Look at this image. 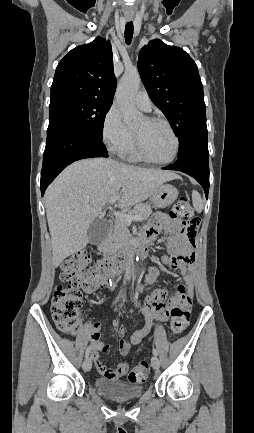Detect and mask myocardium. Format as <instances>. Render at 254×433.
Wrapping results in <instances>:
<instances>
[{
	"mask_svg": "<svg viewBox=\"0 0 254 433\" xmlns=\"http://www.w3.org/2000/svg\"><path fill=\"white\" fill-rule=\"evenodd\" d=\"M146 120L149 123L152 124H162L164 125L168 131L171 133L174 142H175V148H174V152L172 154V156L167 159V160H163V161H159V160H155L153 158H151L148 153L146 152L143 143L141 141V139L139 138V136L134 133V141H135V146H136V150L139 154V156L141 157L142 160L154 164V165H168L171 164L172 162L175 161V159L178 157L179 151H180V140L178 135L176 134L175 130L173 129V127L171 126V124L163 119V118H159V117H147Z\"/></svg>",
	"mask_w": 254,
	"mask_h": 433,
	"instance_id": "1",
	"label": "myocardium"
}]
</instances>
